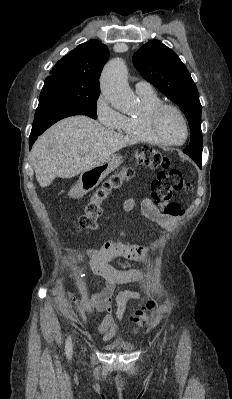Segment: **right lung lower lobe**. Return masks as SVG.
Returning a JSON list of instances; mask_svg holds the SVG:
<instances>
[{
    "mask_svg": "<svg viewBox=\"0 0 232 399\" xmlns=\"http://www.w3.org/2000/svg\"><path fill=\"white\" fill-rule=\"evenodd\" d=\"M74 115H86L91 117L89 114L72 104L39 99V105L35 112L32 131L29 137V149H31L32 144L36 141L37 137L51 125L63 118Z\"/></svg>",
    "mask_w": 232,
    "mask_h": 399,
    "instance_id": "obj_1",
    "label": "right lung lower lobe"
}]
</instances>
